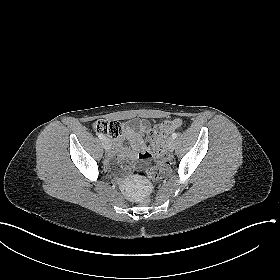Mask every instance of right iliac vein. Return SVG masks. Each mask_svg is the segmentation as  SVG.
Wrapping results in <instances>:
<instances>
[{
    "instance_id": "63e3f726",
    "label": "right iliac vein",
    "mask_w": 280,
    "mask_h": 280,
    "mask_svg": "<svg viewBox=\"0 0 280 280\" xmlns=\"http://www.w3.org/2000/svg\"><path fill=\"white\" fill-rule=\"evenodd\" d=\"M102 145H103L105 150H110V148H111V142L108 138H104L102 140Z\"/></svg>"
}]
</instances>
